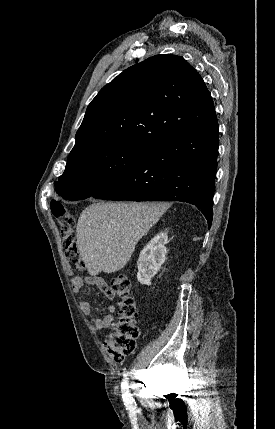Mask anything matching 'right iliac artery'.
Masks as SVG:
<instances>
[{
  "label": "right iliac artery",
  "mask_w": 275,
  "mask_h": 429,
  "mask_svg": "<svg viewBox=\"0 0 275 429\" xmlns=\"http://www.w3.org/2000/svg\"><path fill=\"white\" fill-rule=\"evenodd\" d=\"M121 387H122L123 400L126 403V405L131 408L133 406V399L131 397V394L129 393L127 378L123 380Z\"/></svg>",
  "instance_id": "82829eb1"
}]
</instances>
